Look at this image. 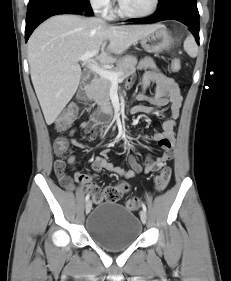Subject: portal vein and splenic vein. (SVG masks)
<instances>
[{"mask_svg":"<svg viewBox=\"0 0 231 281\" xmlns=\"http://www.w3.org/2000/svg\"><path fill=\"white\" fill-rule=\"evenodd\" d=\"M99 53V49H96L94 51L85 53L84 55H82L79 58V61H82L84 64H88V67L94 71L95 73H97L98 75H100L101 77H104L106 79H109L110 81H115L118 82L119 81V77L122 75L121 72H113V71H109L105 68L99 67L98 65L91 63L89 60L91 58H93L94 56H96Z\"/></svg>","mask_w":231,"mask_h":281,"instance_id":"obj_1","label":"portal vein and splenic vein"}]
</instances>
